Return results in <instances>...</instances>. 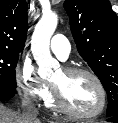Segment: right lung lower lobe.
<instances>
[{"label":"right lung lower lobe","mask_w":118,"mask_h":123,"mask_svg":"<svg viewBox=\"0 0 118 123\" xmlns=\"http://www.w3.org/2000/svg\"><path fill=\"white\" fill-rule=\"evenodd\" d=\"M16 94V90L0 89V100H9Z\"/></svg>","instance_id":"98d812e1"}]
</instances>
